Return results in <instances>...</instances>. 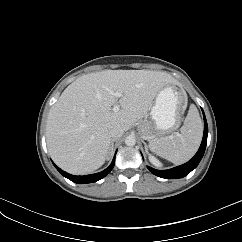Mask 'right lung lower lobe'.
Here are the masks:
<instances>
[{
  "label": "right lung lower lobe",
  "instance_id": "right-lung-lower-lobe-1",
  "mask_svg": "<svg viewBox=\"0 0 242 242\" xmlns=\"http://www.w3.org/2000/svg\"><path fill=\"white\" fill-rule=\"evenodd\" d=\"M54 164V163H53ZM115 164V157L113 158L112 163L110 164V166L108 168H106L105 170H103L102 172L99 173H95V174H90V175H85V176H74L71 175L63 170H61L59 167H57L55 164L54 166L57 168V170L66 178H68L69 180L75 182V183H79V184H85V183H92V182H96L102 178H104L114 167Z\"/></svg>",
  "mask_w": 242,
  "mask_h": 242
}]
</instances>
